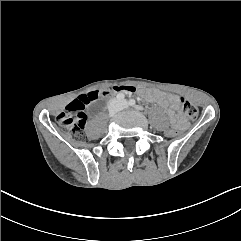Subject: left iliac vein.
<instances>
[{"label": "left iliac vein", "mask_w": 241, "mask_h": 241, "mask_svg": "<svg viewBox=\"0 0 241 241\" xmlns=\"http://www.w3.org/2000/svg\"><path fill=\"white\" fill-rule=\"evenodd\" d=\"M122 105H123V107H127V106H128V103H127L126 101H123V102H122Z\"/></svg>", "instance_id": "4c4485c4"}]
</instances>
